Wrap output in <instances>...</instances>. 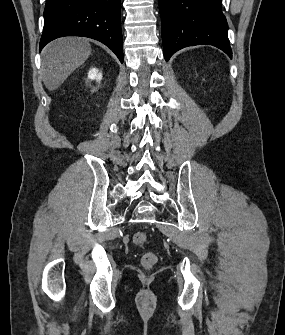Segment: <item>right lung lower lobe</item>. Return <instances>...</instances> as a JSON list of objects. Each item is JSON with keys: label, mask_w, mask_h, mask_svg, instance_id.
I'll use <instances>...</instances> for the list:
<instances>
[{"label": "right lung lower lobe", "mask_w": 285, "mask_h": 335, "mask_svg": "<svg viewBox=\"0 0 285 335\" xmlns=\"http://www.w3.org/2000/svg\"><path fill=\"white\" fill-rule=\"evenodd\" d=\"M121 0H46L40 51L64 36H82L108 46L123 63Z\"/></svg>", "instance_id": "1"}]
</instances>
